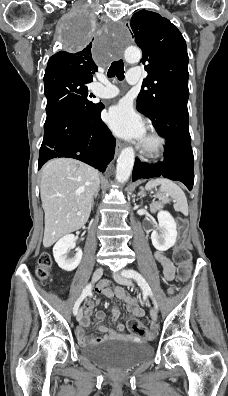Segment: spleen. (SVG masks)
I'll list each match as a JSON object with an SVG mask.
<instances>
[{"label": "spleen", "instance_id": "spleen-1", "mask_svg": "<svg viewBox=\"0 0 228 396\" xmlns=\"http://www.w3.org/2000/svg\"><path fill=\"white\" fill-rule=\"evenodd\" d=\"M160 185V191L156 197L163 203H168L170 200L174 202V209L184 215H188L187 198L183 190L171 180L166 178H156L150 180L145 188L151 190L152 188Z\"/></svg>", "mask_w": 228, "mask_h": 396}]
</instances>
